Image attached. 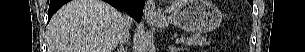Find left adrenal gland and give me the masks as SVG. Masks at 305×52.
<instances>
[{
    "label": "left adrenal gland",
    "mask_w": 305,
    "mask_h": 52,
    "mask_svg": "<svg viewBox=\"0 0 305 52\" xmlns=\"http://www.w3.org/2000/svg\"><path fill=\"white\" fill-rule=\"evenodd\" d=\"M168 49H169L170 52H180V48H176L172 45H169Z\"/></svg>",
    "instance_id": "a2214340"
}]
</instances>
